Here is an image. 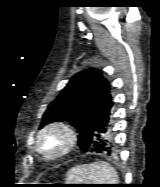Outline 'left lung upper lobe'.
<instances>
[{"label": "left lung upper lobe", "instance_id": "5c2ea615", "mask_svg": "<svg viewBox=\"0 0 160 187\" xmlns=\"http://www.w3.org/2000/svg\"><path fill=\"white\" fill-rule=\"evenodd\" d=\"M111 103L109 82L96 68L85 69L70 79L59 96L48 105L41 125L67 121L78 129L82 151L91 147L84 140L92 133L106 107Z\"/></svg>", "mask_w": 160, "mask_h": 187}]
</instances>
